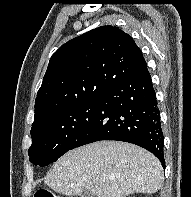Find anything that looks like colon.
Returning <instances> with one entry per match:
<instances>
[{
  "mask_svg": "<svg viewBox=\"0 0 191 197\" xmlns=\"http://www.w3.org/2000/svg\"><path fill=\"white\" fill-rule=\"evenodd\" d=\"M34 197H61V196H58L49 190L40 189L35 192Z\"/></svg>",
  "mask_w": 191,
  "mask_h": 197,
  "instance_id": "colon-1",
  "label": "colon"
}]
</instances>
